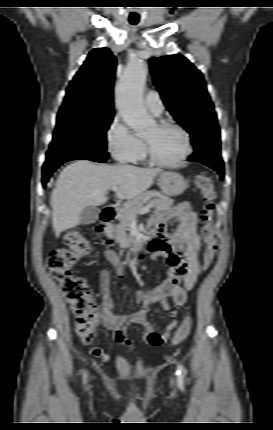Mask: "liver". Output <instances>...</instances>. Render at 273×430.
<instances>
[{
	"label": "liver",
	"mask_w": 273,
	"mask_h": 430,
	"mask_svg": "<svg viewBox=\"0 0 273 430\" xmlns=\"http://www.w3.org/2000/svg\"><path fill=\"white\" fill-rule=\"evenodd\" d=\"M161 172L157 168L95 164L88 160H78L66 166L59 174L51 195L52 225L56 237L77 226L86 207L104 204L106 193L113 186L118 187L117 198L136 199L150 188Z\"/></svg>",
	"instance_id": "6515ba94"
}]
</instances>
